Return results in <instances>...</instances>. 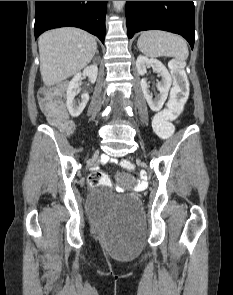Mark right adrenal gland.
I'll list each match as a JSON object with an SVG mask.
<instances>
[{"label": "right adrenal gland", "mask_w": 233, "mask_h": 295, "mask_svg": "<svg viewBox=\"0 0 233 295\" xmlns=\"http://www.w3.org/2000/svg\"><path fill=\"white\" fill-rule=\"evenodd\" d=\"M96 53L98 54V53H99V51L97 50V51H96Z\"/></svg>", "instance_id": "obj_1"}]
</instances>
